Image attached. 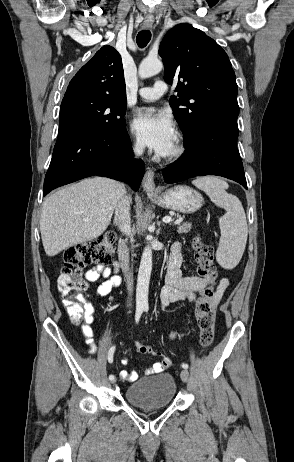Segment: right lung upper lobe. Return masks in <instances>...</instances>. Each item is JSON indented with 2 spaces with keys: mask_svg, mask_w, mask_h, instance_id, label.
Here are the masks:
<instances>
[{
  "mask_svg": "<svg viewBox=\"0 0 294 462\" xmlns=\"http://www.w3.org/2000/svg\"><path fill=\"white\" fill-rule=\"evenodd\" d=\"M125 89L121 56L106 45L72 78L63 100L76 96L126 99Z\"/></svg>",
  "mask_w": 294,
  "mask_h": 462,
  "instance_id": "right-lung-upper-lobe-1",
  "label": "right lung upper lobe"
}]
</instances>
